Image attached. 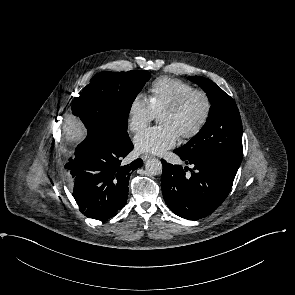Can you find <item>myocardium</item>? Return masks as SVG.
<instances>
[{"mask_svg": "<svg viewBox=\"0 0 295 295\" xmlns=\"http://www.w3.org/2000/svg\"><path fill=\"white\" fill-rule=\"evenodd\" d=\"M195 97H199L202 99L204 103V111L201 118L197 122V124L191 130L180 134V136L185 139H190L197 136L208 123L213 110V102H212V98L210 94L203 89H193L190 92H188L186 95H184L176 103H174L173 105L165 109L162 113V114H176V115L181 114L187 109V107L189 106V104L192 102V100Z\"/></svg>", "mask_w": 295, "mask_h": 295, "instance_id": "1", "label": "myocardium"}]
</instances>
